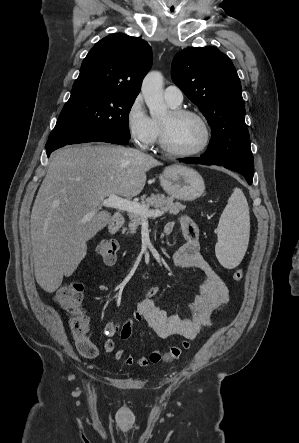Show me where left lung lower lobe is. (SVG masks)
<instances>
[{"label":"left lung lower lobe","instance_id":"obj_1","mask_svg":"<svg viewBox=\"0 0 299 443\" xmlns=\"http://www.w3.org/2000/svg\"><path fill=\"white\" fill-rule=\"evenodd\" d=\"M181 161L185 163H194V164H203V165H217V166H223L227 169L233 170L235 172H238L242 174L245 178L248 184H252L253 181V173H254V165L253 163H240V164H230V165H222V164H216L213 162H210L206 159H204L202 156L200 158H184Z\"/></svg>","mask_w":299,"mask_h":443}]
</instances>
